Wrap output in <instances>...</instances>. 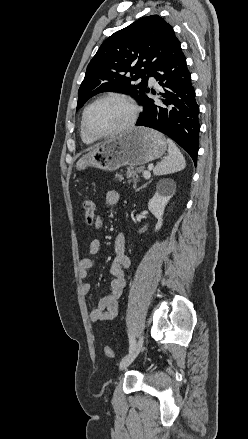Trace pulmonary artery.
Masks as SVG:
<instances>
[{
  "instance_id": "obj_1",
  "label": "pulmonary artery",
  "mask_w": 248,
  "mask_h": 439,
  "mask_svg": "<svg viewBox=\"0 0 248 439\" xmlns=\"http://www.w3.org/2000/svg\"><path fill=\"white\" fill-rule=\"evenodd\" d=\"M150 83H151V84H154V83H155V80H154L153 77L150 78Z\"/></svg>"
}]
</instances>
